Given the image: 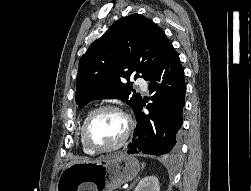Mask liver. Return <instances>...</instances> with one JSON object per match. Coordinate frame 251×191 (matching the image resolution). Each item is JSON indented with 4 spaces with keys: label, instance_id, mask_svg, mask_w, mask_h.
Listing matches in <instances>:
<instances>
[{
    "label": "liver",
    "instance_id": "1",
    "mask_svg": "<svg viewBox=\"0 0 251 191\" xmlns=\"http://www.w3.org/2000/svg\"><path fill=\"white\" fill-rule=\"evenodd\" d=\"M70 163H92V161H90L89 157H80V159L69 161L68 165H70Z\"/></svg>",
    "mask_w": 251,
    "mask_h": 191
}]
</instances>
